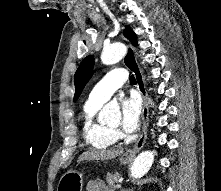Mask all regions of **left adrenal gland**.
<instances>
[{
    "mask_svg": "<svg viewBox=\"0 0 221 191\" xmlns=\"http://www.w3.org/2000/svg\"><path fill=\"white\" fill-rule=\"evenodd\" d=\"M121 191H133L132 189H121Z\"/></svg>",
    "mask_w": 221,
    "mask_h": 191,
    "instance_id": "obj_1",
    "label": "left adrenal gland"
}]
</instances>
